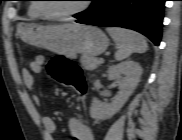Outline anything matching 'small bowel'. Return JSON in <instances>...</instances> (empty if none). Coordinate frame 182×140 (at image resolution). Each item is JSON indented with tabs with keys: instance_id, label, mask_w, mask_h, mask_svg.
Returning <instances> with one entry per match:
<instances>
[{
	"instance_id": "obj_1",
	"label": "small bowel",
	"mask_w": 182,
	"mask_h": 140,
	"mask_svg": "<svg viewBox=\"0 0 182 140\" xmlns=\"http://www.w3.org/2000/svg\"><path fill=\"white\" fill-rule=\"evenodd\" d=\"M46 58L43 55H37L30 63L28 68L22 70V80L24 85L31 89L34 84V74H39ZM36 105H40V98L37 95L32 97ZM41 122L49 140H55L56 124L48 115L41 116ZM68 129L74 140H95L91 129L82 123L77 117H71L68 121Z\"/></svg>"
}]
</instances>
